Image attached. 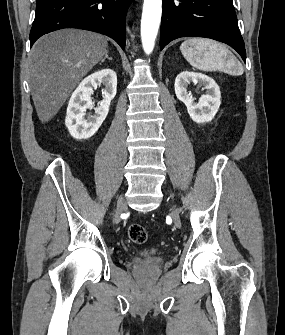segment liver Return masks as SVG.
<instances>
[{
    "label": "liver",
    "mask_w": 285,
    "mask_h": 335,
    "mask_svg": "<svg viewBox=\"0 0 285 335\" xmlns=\"http://www.w3.org/2000/svg\"><path fill=\"white\" fill-rule=\"evenodd\" d=\"M107 40L86 30L42 36L30 52L29 90L41 122H49L82 78L108 54Z\"/></svg>",
    "instance_id": "obj_1"
}]
</instances>
